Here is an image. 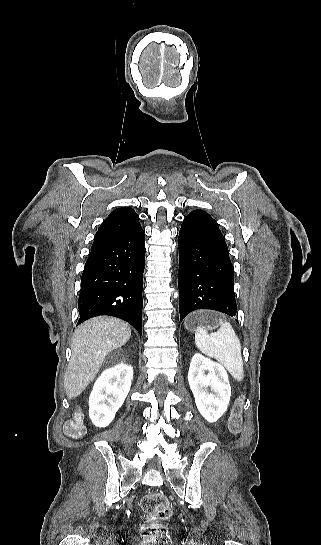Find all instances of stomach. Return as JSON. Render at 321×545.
Here are the masks:
<instances>
[{"instance_id":"obj_1","label":"stomach","mask_w":321,"mask_h":545,"mask_svg":"<svg viewBox=\"0 0 321 545\" xmlns=\"http://www.w3.org/2000/svg\"><path fill=\"white\" fill-rule=\"evenodd\" d=\"M201 323H205L209 329H217L219 325V321H217V317H214L212 311H197V313L188 315L185 321V329L196 331Z\"/></svg>"}]
</instances>
